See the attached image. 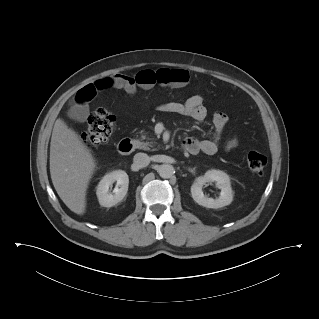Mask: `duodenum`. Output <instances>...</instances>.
Here are the masks:
<instances>
[{
    "label": "duodenum",
    "instance_id": "410a0bca",
    "mask_svg": "<svg viewBox=\"0 0 319 319\" xmlns=\"http://www.w3.org/2000/svg\"><path fill=\"white\" fill-rule=\"evenodd\" d=\"M132 149H133V142L131 139H123L118 144V151L123 155L130 153ZM184 150H186L185 147H184Z\"/></svg>",
    "mask_w": 319,
    "mask_h": 319
}]
</instances>
